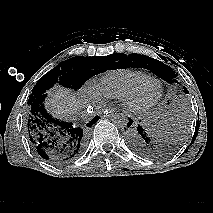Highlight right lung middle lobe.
<instances>
[{"mask_svg": "<svg viewBox=\"0 0 213 213\" xmlns=\"http://www.w3.org/2000/svg\"><path fill=\"white\" fill-rule=\"evenodd\" d=\"M124 55L123 53H114L102 57L77 56L60 63L38 80L29 96L28 104L44 94L55 83L74 90L79 89L90 77L113 69V63H119L120 61L118 60ZM119 68L121 67H115L114 69Z\"/></svg>", "mask_w": 213, "mask_h": 213, "instance_id": "right-lung-middle-lobe-1", "label": "right lung middle lobe"}]
</instances>
